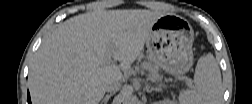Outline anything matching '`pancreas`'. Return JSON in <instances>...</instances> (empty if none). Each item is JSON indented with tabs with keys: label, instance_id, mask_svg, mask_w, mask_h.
Segmentation results:
<instances>
[{
	"label": "pancreas",
	"instance_id": "pancreas-1",
	"mask_svg": "<svg viewBox=\"0 0 252 104\" xmlns=\"http://www.w3.org/2000/svg\"><path fill=\"white\" fill-rule=\"evenodd\" d=\"M143 69L148 70L152 76L153 79L155 80H161V77L158 74V66L152 63H144L142 65Z\"/></svg>",
	"mask_w": 252,
	"mask_h": 104
}]
</instances>
